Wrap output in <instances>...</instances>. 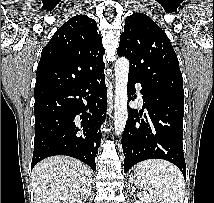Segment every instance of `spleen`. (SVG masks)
Listing matches in <instances>:
<instances>
[{
  "instance_id": "3e777b00",
  "label": "spleen",
  "mask_w": 214,
  "mask_h": 203,
  "mask_svg": "<svg viewBox=\"0 0 214 203\" xmlns=\"http://www.w3.org/2000/svg\"><path fill=\"white\" fill-rule=\"evenodd\" d=\"M134 184L142 189L143 203H183L185 182L179 169L163 160L139 163Z\"/></svg>"
}]
</instances>
